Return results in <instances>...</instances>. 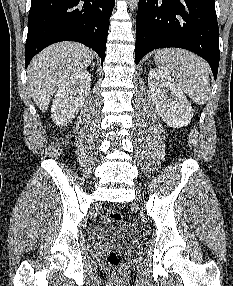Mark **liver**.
<instances>
[{
  "label": "liver",
  "mask_w": 233,
  "mask_h": 286,
  "mask_svg": "<svg viewBox=\"0 0 233 286\" xmlns=\"http://www.w3.org/2000/svg\"><path fill=\"white\" fill-rule=\"evenodd\" d=\"M94 54L88 47L75 42H61L40 52L30 63L28 81L31 96L45 112L55 91L71 75L87 68Z\"/></svg>",
  "instance_id": "obj_1"
}]
</instances>
